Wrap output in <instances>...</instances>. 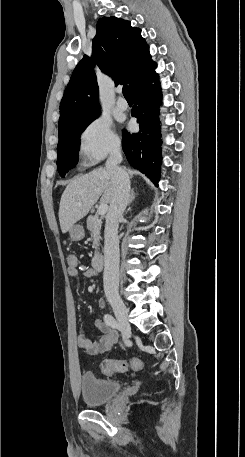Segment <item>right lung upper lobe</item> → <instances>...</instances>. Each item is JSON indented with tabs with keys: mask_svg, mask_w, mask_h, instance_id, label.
Here are the masks:
<instances>
[{
	"mask_svg": "<svg viewBox=\"0 0 245 457\" xmlns=\"http://www.w3.org/2000/svg\"><path fill=\"white\" fill-rule=\"evenodd\" d=\"M95 64L115 82L128 83L130 89L153 74L156 67L140 29L131 27L130 21L115 17L99 19L92 42V57L84 55L65 89L59 128L100 111Z\"/></svg>",
	"mask_w": 245,
	"mask_h": 457,
	"instance_id": "cb5924a9",
	"label": "right lung upper lobe"
}]
</instances>
